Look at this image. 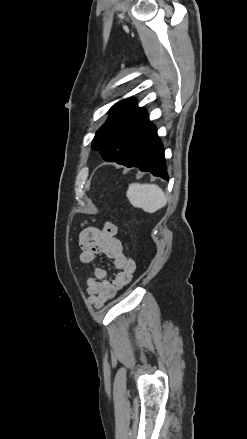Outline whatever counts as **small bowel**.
Segmentation results:
<instances>
[{
	"label": "small bowel",
	"mask_w": 247,
	"mask_h": 439,
	"mask_svg": "<svg viewBox=\"0 0 247 439\" xmlns=\"http://www.w3.org/2000/svg\"><path fill=\"white\" fill-rule=\"evenodd\" d=\"M116 233L114 224L105 223L100 228H85L79 236V259L82 263H92L96 256L105 255L113 261L116 269L114 276L108 279L106 270L95 268L93 276L87 279L88 301L95 307H101L112 299L119 289L131 281L136 269L134 260L124 253L121 241L115 237Z\"/></svg>",
	"instance_id": "small-bowel-1"
}]
</instances>
